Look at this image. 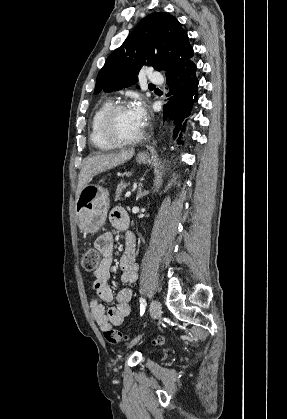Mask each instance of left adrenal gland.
I'll list each match as a JSON object with an SVG mask.
<instances>
[{"instance_id": "1", "label": "left adrenal gland", "mask_w": 287, "mask_h": 419, "mask_svg": "<svg viewBox=\"0 0 287 419\" xmlns=\"http://www.w3.org/2000/svg\"><path fill=\"white\" fill-rule=\"evenodd\" d=\"M145 192H142V183L139 184L137 200L144 196Z\"/></svg>"}]
</instances>
